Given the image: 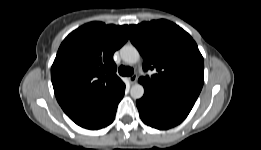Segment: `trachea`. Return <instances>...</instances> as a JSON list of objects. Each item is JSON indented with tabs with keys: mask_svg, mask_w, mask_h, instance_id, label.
Wrapping results in <instances>:
<instances>
[{
	"mask_svg": "<svg viewBox=\"0 0 261 150\" xmlns=\"http://www.w3.org/2000/svg\"><path fill=\"white\" fill-rule=\"evenodd\" d=\"M119 74L120 75H122V76H131V75H133V73H134V70H133V68H131V67H126V66H123V65H121L120 67H119Z\"/></svg>",
	"mask_w": 261,
	"mask_h": 150,
	"instance_id": "1",
	"label": "trachea"
}]
</instances>
